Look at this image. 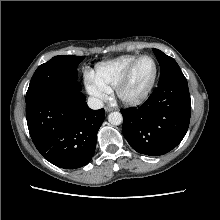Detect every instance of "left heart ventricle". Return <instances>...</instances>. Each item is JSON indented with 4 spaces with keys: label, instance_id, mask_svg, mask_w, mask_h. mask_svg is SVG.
Wrapping results in <instances>:
<instances>
[{
    "label": "left heart ventricle",
    "instance_id": "1",
    "mask_svg": "<svg viewBox=\"0 0 220 220\" xmlns=\"http://www.w3.org/2000/svg\"><path fill=\"white\" fill-rule=\"evenodd\" d=\"M154 62L150 58L142 59L134 70L132 78L125 88V94L136 96L148 86L154 75Z\"/></svg>",
    "mask_w": 220,
    "mask_h": 220
}]
</instances>
